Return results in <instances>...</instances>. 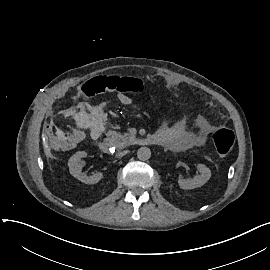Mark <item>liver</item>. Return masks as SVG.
<instances>
[{
    "label": "liver",
    "mask_w": 270,
    "mask_h": 270,
    "mask_svg": "<svg viewBox=\"0 0 270 270\" xmlns=\"http://www.w3.org/2000/svg\"><path fill=\"white\" fill-rule=\"evenodd\" d=\"M44 152H45V154H46L47 156H51V155H52V153H51V148H50V147H45V148H44Z\"/></svg>",
    "instance_id": "liver-1"
}]
</instances>
